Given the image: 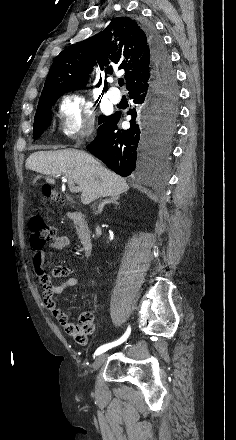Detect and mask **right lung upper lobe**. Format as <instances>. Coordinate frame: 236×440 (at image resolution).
I'll return each mask as SVG.
<instances>
[{
	"label": "right lung upper lobe",
	"mask_w": 236,
	"mask_h": 440,
	"mask_svg": "<svg viewBox=\"0 0 236 440\" xmlns=\"http://www.w3.org/2000/svg\"><path fill=\"white\" fill-rule=\"evenodd\" d=\"M98 65L106 74L113 73L112 65L124 70L129 92L148 84L153 64L142 25L117 17L99 34L63 50L51 65L40 100L83 88L93 67Z\"/></svg>",
	"instance_id": "right-lung-upper-lobe-1"
}]
</instances>
